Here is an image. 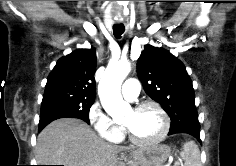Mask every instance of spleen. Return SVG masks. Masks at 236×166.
<instances>
[{
  "mask_svg": "<svg viewBox=\"0 0 236 166\" xmlns=\"http://www.w3.org/2000/svg\"><path fill=\"white\" fill-rule=\"evenodd\" d=\"M180 156L184 161V166H202L200 151L194 141H188L183 144V151Z\"/></svg>",
  "mask_w": 236,
  "mask_h": 166,
  "instance_id": "spleen-1",
  "label": "spleen"
}]
</instances>
